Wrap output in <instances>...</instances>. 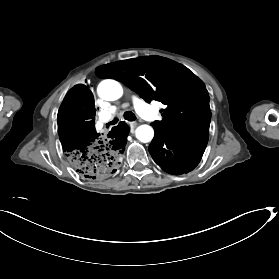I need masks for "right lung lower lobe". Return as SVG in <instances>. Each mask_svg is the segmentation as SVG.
Here are the masks:
<instances>
[{
	"label": "right lung lower lobe",
	"instance_id": "obj_1",
	"mask_svg": "<svg viewBox=\"0 0 279 279\" xmlns=\"http://www.w3.org/2000/svg\"><path fill=\"white\" fill-rule=\"evenodd\" d=\"M94 99L84 85L73 87L57 115L58 134L69 164L86 178L106 179L119 168L128 126L120 122L102 137L95 130Z\"/></svg>",
	"mask_w": 279,
	"mask_h": 279
}]
</instances>
